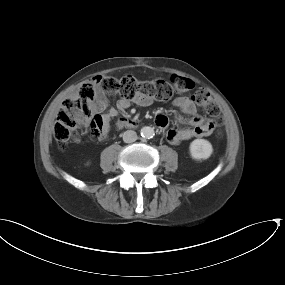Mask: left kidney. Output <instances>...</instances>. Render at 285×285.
<instances>
[{
  "mask_svg": "<svg viewBox=\"0 0 285 285\" xmlns=\"http://www.w3.org/2000/svg\"><path fill=\"white\" fill-rule=\"evenodd\" d=\"M189 151L193 159L205 160L211 156L213 148L209 141L205 139H195L191 142Z\"/></svg>",
  "mask_w": 285,
  "mask_h": 285,
  "instance_id": "obj_1",
  "label": "left kidney"
}]
</instances>
